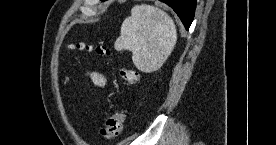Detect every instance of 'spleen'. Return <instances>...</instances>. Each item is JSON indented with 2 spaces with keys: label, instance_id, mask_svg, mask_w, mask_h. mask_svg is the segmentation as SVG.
I'll list each match as a JSON object with an SVG mask.
<instances>
[{
  "label": "spleen",
  "instance_id": "obj_1",
  "mask_svg": "<svg viewBox=\"0 0 276 145\" xmlns=\"http://www.w3.org/2000/svg\"><path fill=\"white\" fill-rule=\"evenodd\" d=\"M176 42L172 18L157 7L142 4L134 6L131 16L123 21L115 49L131 51L137 69L151 73L162 67Z\"/></svg>",
  "mask_w": 276,
  "mask_h": 145
}]
</instances>
